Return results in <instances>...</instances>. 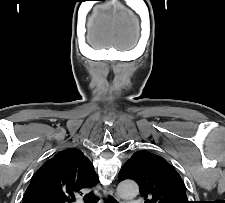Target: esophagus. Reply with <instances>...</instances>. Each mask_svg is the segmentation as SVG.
Segmentation results:
<instances>
[{"label":"esophagus","mask_w":225,"mask_h":203,"mask_svg":"<svg viewBox=\"0 0 225 203\" xmlns=\"http://www.w3.org/2000/svg\"><path fill=\"white\" fill-rule=\"evenodd\" d=\"M103 194H104L105 198H110L112 196L116 199L117 203H121L119 201V198L116 196L114 188L112 186L106 187L103 191Z\"/></svg>","instance_id":"obj_1"}]
</instances>
